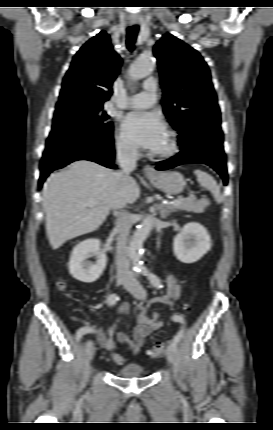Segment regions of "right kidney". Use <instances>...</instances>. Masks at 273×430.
I'll return each instance as SVG.
<instances>
[{
  "mask_svg": "<svg viewBox=\"0 0 273 430\" xmlns=\"http://www.w3.org/2000/svg\"><path fill=\"white\" fill-rule=\"evenodd\" d=\"M100 245L99 239L89 238L74 247L68 263L69 273L73 278L83 283H93L100 278L107 261ZM91 256L96 257L95 264L86 261Z\"/></svg>",
  "mask_w": 273,
  "mask_h": 430,
  "instance_id": "right-kidney-1",
  "label": "right kidney"
}]
</instances>
